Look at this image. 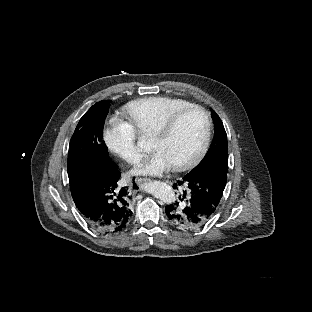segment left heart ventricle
Returning a JSON list of instances; mask_svg holds the SVG:
<instances>
[{"label":"left heart ventricle","instance_id":"1","mask_svg":"<svg viewBox=\"0 0 312 312\" xmlns=\"http://www.w3.org/2000/svg\"><path fill=\"white\" fill-rule=\"evenodd\" d=\"M209 133L207 116L200 111L180 115L161 141L168 160L181 164L191 160Z\"/></svg>","mask_w":312,"mask_h":312}]
</instances>
